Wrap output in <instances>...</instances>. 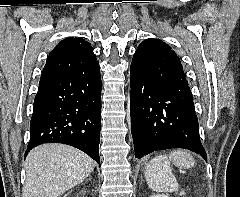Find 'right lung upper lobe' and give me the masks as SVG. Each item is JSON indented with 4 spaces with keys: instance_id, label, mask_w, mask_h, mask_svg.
<instances>
[{
    "instance_id": "right-lung-upper-lobe-1",
    "label": "right lung upper lobe",
    "mask_w": 240,
    "mask_h": 197,
    "mask_svg": "<svg viewBox=\"0 0 240 197\" xmlns=\"http://www.w3.org/2000/svg\"><path fill=\"white\" fill-rule=\"evenodd\" d=\"M99 67L90 43L81 38H66L51 51L47 58L41 78L79 74Z\"/></svg>"
}]
</instances>
